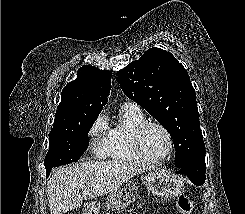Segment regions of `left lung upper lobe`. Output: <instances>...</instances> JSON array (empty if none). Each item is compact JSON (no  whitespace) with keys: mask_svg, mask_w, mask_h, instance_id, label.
I'll return each mask as SVG.
<instances>
[{"mask_svg":"<svg viewBox=\"0 0 245 214\" xmlns=\"http://www.w3.org/2000/svg\"><path fill=\"white\" fill-rule=\"evenodd\" d=\"M116 76L125 95L170 133L177 167L205 159L196 93L188 72L170 52L150 48Z\"/></svg>","mask_w":245,"mask_h":214,"instance_id":"1","label":"left lung upper lobe"}]
</instances>
